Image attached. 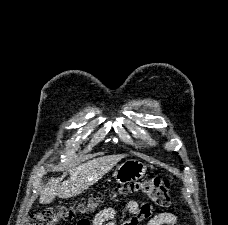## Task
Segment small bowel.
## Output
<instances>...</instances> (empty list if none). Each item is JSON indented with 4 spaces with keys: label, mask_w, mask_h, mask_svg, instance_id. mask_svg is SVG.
<instances>
[{
    "label": "small bowel",
    "mask_w": 228,
    "mask_h": 225,
    "mask_svg": "<svg viewBox=\"0 0 228 225\" xmlns=\"http://www.w3.org/2000/svg\"><path fill=\"white\" fill-rule=\"evenodd\" d=\"M151 204H139L134 200H130L125 205V211L128 214L135 215L139 212V218H131V222H120V225H138L141 218L150 217ZM115 210L106 208L98 213L90 223V225H117L115 220ZM178 217L172 212H161L151 216L146 225H178Z\"/></svg>",
    "instance_id": "obj_1"
}]
</instances>
